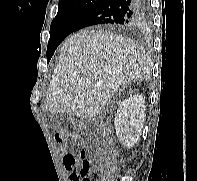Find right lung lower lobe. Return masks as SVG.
<instances>
[{
  "label": "right lung lower lobe",
  "instance_id": "right-lung-lower-lobe-1",
  "mask_svg": "<svg viewBox=\"0 0 197 181\" xmlns=\"http://www.w3.org/2000/svg\"><path fill=\"white\" fill-rule=\"evenodd\" d=\"M147 0H101L83 14L72 33L94 25H112L120 29L140 26L145 21Z\"/></svg>",
  "mask_w": 197,
  "mask_h": 181
}]
</instances>
